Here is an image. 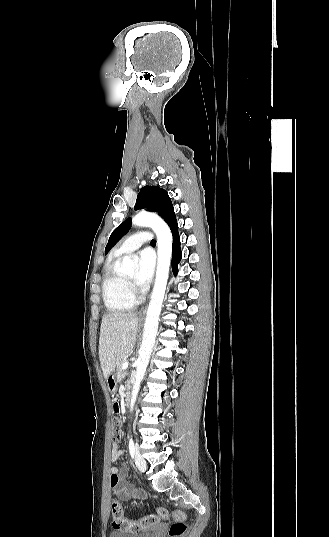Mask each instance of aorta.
<instances>
[{
    "mask_svg": "<svg viewBox=\"0 0 329 537\" xmlns=\"http://www.w3.org/2000/svg\"><path fill=\"white\" fill-rule=\"evenodd\" d=\"M132 223L135 226H149L155 231L158 245V262L155 284L144 325L143 340L139 350V357L135 362L136 375L130 402L131 411L133 410L140 389V383L145 375L155 344L158 321L166 291L172 255V234L168 225L160 217L151 213L142 212L133 217ZM136 263L137 257L125 256L123 257L120 269L122 272L132 273Z\"/></svg>",
    "mask_w": 329,
    "mask_h": 537,
    "instance_id": "aorta-1",
    "label": "aorta"
}]
</instances>
